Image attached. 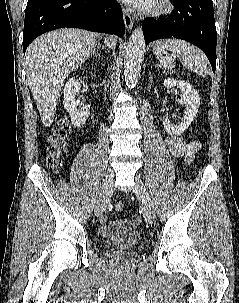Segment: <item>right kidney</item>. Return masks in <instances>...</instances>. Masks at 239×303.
<instances>
[{"mask_svg": "<svg viewBox=\"0 0 239 303\" xmlns=\"http://www.w3.org/2000/svg\"><path fill=\"white\" fill-rule=\"evenodd\" d=\"M81 85L76 78H70L64 86V107L69 113L71 122L74 126L80 127L85 124L89 118L90 112L87 110L77 109L79 100L75 98L79 92Z\"/></svg>", "mask_w": 239, "mask_h": 303, "instance_id": "1", "label": "right kidney"}]
</instances>
